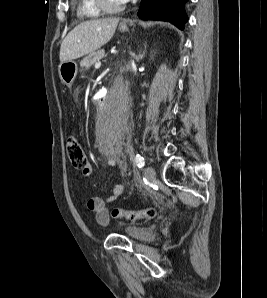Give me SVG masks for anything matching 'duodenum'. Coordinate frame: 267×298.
Segmentation results:
<instances>
[{"mask_svg":"<svg viewBox=\"0 0 267 298\" xmlns=\"http://www.w3.org/2000/svg\"><path fill=\"white\" fill-rule=\"evenodd\" d=\"M109 94H106L103 98H96V103L94 104V112H103V109H106L108 103Z\"/></svg>","mask_w":267,"mask_h":298,"instance_id":"1","label":"duodenum"}]
</instances>
